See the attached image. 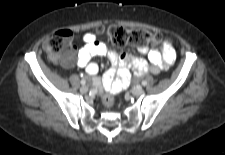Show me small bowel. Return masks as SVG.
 Masks as SVG:
<instances>
[{"mask_svg":"<svg viewBox=\"0 0 225 155\" xmlns=\"http://www.w3.org/2000/svg\"><path fill=\"white\" fill-rule=\"evenodd\" d=\"M82 45L83 47L77 53L76 64L94 77L93 83L98 89L102 92L109 91L111 94L126 87L131 78V68L136 71L137 75L147 72L158 74L169 68L176 57L175 50L169 42L163 43L160 48L139 47V52L147 55V60L127 53L119 54L104 43L97 41L93 33H86L82 37ZM95 56L107 57L112 65L102 78L98 77L99 66L91 62ZM73 64L74 61L64 62L66 67H71Z\"/></svg>","mask_w":225,"mask_h":155,"instance_id":"small-bowel-1","label":"small bowel"}]
</instances>
